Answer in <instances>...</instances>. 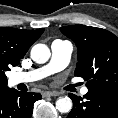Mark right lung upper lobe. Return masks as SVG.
I'll return each instance as SVG.
<instances>
[{
  "instance_id": "obj_1",
  "label": "right lung upper lobe",
  "mask_w": 118,
  "mask_h": 118,
  "mask_svg": "<svg viewBox=\"0 0 118 118\" xmlns=\"http://www.w3.org/2000/svg\"><path fill=\"white\" fill-rule=\"evenodd\" d=\"M44 32L43 28L37 30H20L16 28L0 27V55L10 62L19 64L30 46ZM7 87V81L0 80V90Z\"/></svg>"
}]
</instances>
